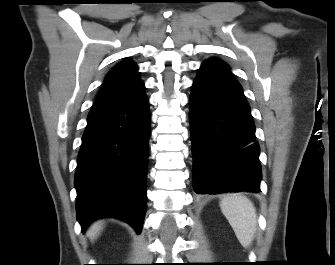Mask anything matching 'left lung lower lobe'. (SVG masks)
Wrapping results in <instances>:
<instances>
[{"label": "left lung lower lobe", "instance_id": "left-lung-lower-lobe-1", "mask_svg": "<svg viewBox=\"0 0 335 265\" xmlns=\"http://www.w3.org/2000/svg\"><path fill=\"white\" fill-rule=\"evenodd\" d=\"M197 194L260 191V148L250 107L229 68L202 65L190 96Z\"/></svg>", "mask_w": 335, "mask_h": 265}]
</instances>
